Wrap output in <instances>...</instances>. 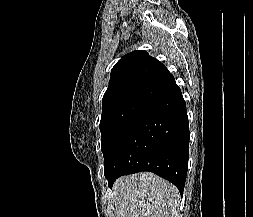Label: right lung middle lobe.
Instances as JSON below:
<instances>
[{"instance_id": "1", "label": "right lung middle lobe", "mask_w": 253, "mask_h": 217, "mask_svg": "<svg viewBox=\"0 0 253 217\" xmlns=\"http://www.w3.org/2000/svg\"><path fill=\"white\" fill-rule=\"evenodd\" d=\"M149 101L132 99L110 105L102 110L100 130L101 150L105 166L123 133L149 105Z\"/></svg>"}]
</instances>
